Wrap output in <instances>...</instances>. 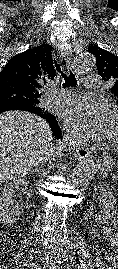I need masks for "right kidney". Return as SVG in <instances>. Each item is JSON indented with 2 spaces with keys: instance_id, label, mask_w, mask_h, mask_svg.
Instances as JSON below:
<instances>
[{
  "instance_id": "1",
  "label": "right kidney",
  "mask_w": 118,
  "mask_h": 269,
  "mask_svg": "<svg viewBox=\"0 0 118 269\" xmlns=\"http://www.w3.org/2000/svg\"><path fill=\"white\" fill-rule=\"evenodd\" d=\"M28 182L25 179L14 180L1 190L0 194V222L4 224H12L16 222L24 209L23 203H18L13 199L15 190L20 185L26 186Z\"/></svg>"
}]
</instances>
